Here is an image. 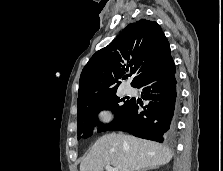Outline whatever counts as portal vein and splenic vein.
<instances>
[{"label":"portal vein and splenic vein","instance_id":"portal-vein-and-splenic-vein-1","mask_svg":"<svg viewBox=\"0 0 223 171\" xmlns=\"http://www.w3.org/2000/svg\"><path fill=\"white\" fill-rule=\"evenodd\" d=\"M105 168H106V171H118L117 168L112 167V166H110V165H106Z\"/></svg>","mask_w":223,"mask_h":171}]
</instances>
